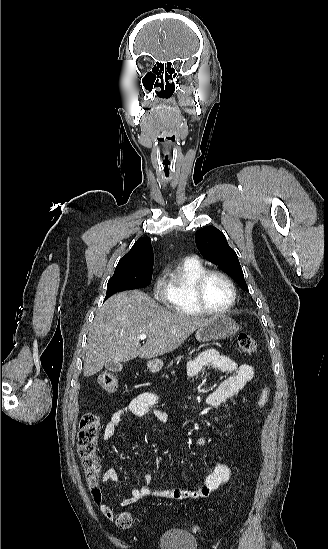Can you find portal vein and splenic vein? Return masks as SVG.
<instances>
[{"label": "portal vein and splenic vein", "mask_w": 328, "mask_h": 549, "mask_svg": "<svg viewBox=\"0 0 328 549\" xmlns=\"http://www.w3.org/2000/svg\"><path fill=\"white\" fill-rule=\"evenodd\" d=\"M138 339H141V341H144V339H147V335H140V337H138Z\"/></svg>", "instance_id": "1"}]
</instances>
